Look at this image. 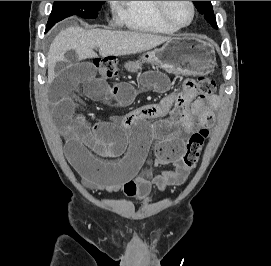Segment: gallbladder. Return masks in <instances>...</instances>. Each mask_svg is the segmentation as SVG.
I'll use <instances>...</instances> for the list:
<instances>
[{
    "mask_svg": "<svg viewBox=\"0 0 271 266\" xmlns=\"http://www.w3.org/2000/svg\"><path fill=\"white\" fill-rule=\"evenodd\" d=\"M66 60L60 61L55 66V73L60 75L63 71L69 66L76 64L79 59L76 56V53L73 50H69L65 53Z\"/></svg>",
    "mask_w": 271,
    "mask_h": 266,
    "instance_id": "obj_1",
    "label": "gallbladder"
}]
</instances>
